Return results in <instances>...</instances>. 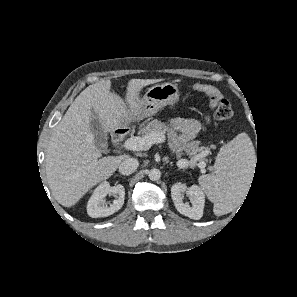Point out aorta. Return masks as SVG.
<instances>
[{
    "label": "aorta",
    "instance_id": "762f6f07",
    "mask_svg": "<svg viewBox=\"0 0 297 297\" xmlns=\"http://www.w3.org/2000/svg\"><path fill=\"white\" fill-rule=\"evenodd\" d=\"M148 177L152 181H157L161 177V171L159 169L153 168L149 171Z\"/></svg>",
    "mask_w": 297,
    "mask_h": 297
}]
</instances>
